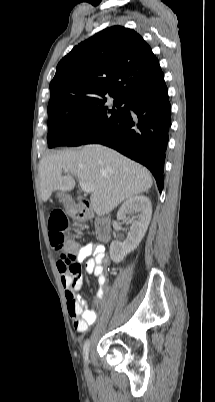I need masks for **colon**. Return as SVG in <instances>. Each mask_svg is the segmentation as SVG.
I'll return each instance as SVG.
<instances>
[{
    "mask_svg": "<svg viewBox=\"0 0 215 402\" xmlns=\"http://www.w3.org/2000/svg\"><path fill=\"white\" fill-rule=\"evenodd\" d=\"M68 226V220L64 212L57 210L49 218V239L56 250H61V262L69 271L79 269L76 262V250L82 249V242L76 238H67L65 241L64 230Z\"/></svg>",
    "mask_w": 215,
    "mask_h": 402,
    "instance_id": "1",
    "label": "colon"
}]
</instances>
